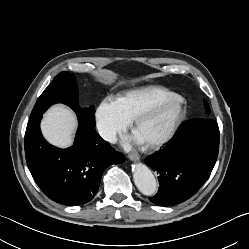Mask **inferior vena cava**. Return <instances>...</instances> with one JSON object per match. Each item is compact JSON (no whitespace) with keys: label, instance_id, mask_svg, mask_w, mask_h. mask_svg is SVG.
<instances>
[{"label":"inferior vena cava","instance_id":"1","mask_svg":"<svg viewBox=\"0 0 249 249\" xmlns=\"http://www.w3.org/2000/svg\"><path fill=\"white\" fill-rule=\"evenodd\" d=\"M99 133L101 137L108 142L115 143L117 140L116 133L113 130L107 128H101L99 130Z\"/></svg>","mask_w":249,"mask_h":249}]
</instances>
